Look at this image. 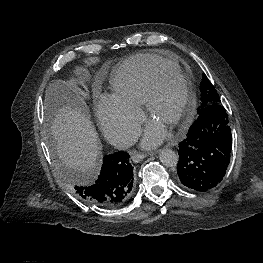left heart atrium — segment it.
Segmentation results:
<instances>
[{
	"label": "left heart atrium",
	"instance_id": "39dd6f15",
	"mask_svg": "<svg viewBox=\"0 0 263 263\" xmlns=\"http://www.w3.org/2000/svg\"><path fill=\"white\" fill-rule=\"evenodd\" d=\"M166 134L162 127L154 122L150 123L145 131L143 145L145 147H152L161 143Z\"/></svg>",
	"mask_w": 263,
	"mask_h": 263
}]
</instances>
